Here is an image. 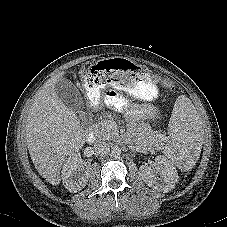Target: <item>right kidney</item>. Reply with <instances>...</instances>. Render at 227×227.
Here are the masks:
<instances>
[{"label":"right kidney","mask_w":227,"mask_h":227,"mask_svg":"<svg viewBox=\"0 0 227 227\" xmlns=\"http://www.w3.org/2000/svg\"><path fill=\"white\" fill-rule=\"evenodd\" d=\"M90 165L75 153L67 158L62 167V182L69 191L76 193L82 190L90 178Z\"/></svg>","instance_id":"ca27d5eb"}]
</instances>
